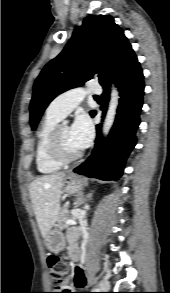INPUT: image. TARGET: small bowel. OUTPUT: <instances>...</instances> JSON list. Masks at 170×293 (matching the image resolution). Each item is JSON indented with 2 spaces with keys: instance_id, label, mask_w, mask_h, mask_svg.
<instances>
[{
  "instance_id": "1",
  "label": "small bowel",
  "mask_w": 170,
  "mask_h": 293,
  "mask_svg": "<svg viewBox=\"0 0 170 293\" xmlns=\"http://www.w3.org/2000/svg\"><path fill=\"white\" fill-rule=\"evenodd\" d=\"M68 240L72 244L76 241V231L70 230L68 232ZM72 285L76 288H84L86 286V276L82 267H76L74 270V277Z\"/></svg>"
}]
</instances>
